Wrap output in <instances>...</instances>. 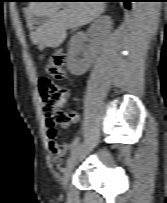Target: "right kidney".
<instances>
[{
    "label": "right kidney",
    "instance_id": "1",
    "mask_svg": "<svg viewBox=\"0 0 167 203\" xmlns=\"http://www.w3.org/2000/svg\"><path fill=\"white\" fill-rule=\"evenodd\" d=\"M112 29V21L109 16H101L91 25L90 32L98 33L103 38L110 33ZM86 41V34L84 32L77 33L71 40L68 51V70L73 75L84 74L93 63L97 44L92 45L89 49H85L84 42ZM82 55L83 58H80Z\"/></svg>",
    "mask_w": 167,
    "mask_h": 203
}]
</instances>
